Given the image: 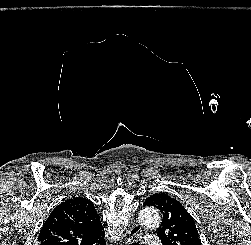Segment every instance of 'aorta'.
<instances>
[{"instance_id": "aorta-1", "label": "aorta", "mask_w": 251, "mask_h": 245, "mask_svg": "<svg viewBox=\"0 0 251 245\" xmlns=\"http://www.w3.org/2000/svg\"><path fill=\"white\" fill-rule=\"evenodd\" d=\"M141 223L149 228H156L161 222L160 214L155 208H146L140 213Z\"/></svg>"}]
</instances>
